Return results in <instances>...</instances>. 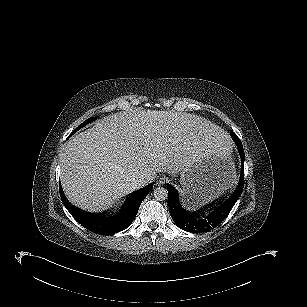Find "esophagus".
Masks as SVG:
<instances>
[{
    "label": "esophagus",
    "instance_id": "1",
    "mask_svg": "<svg viewBox=\"0 0 307 307\" xmlns=\"http://www.w3.org/2000/svg\"><path fill=\"white\" fill-rule=\"evenodd\" d=\"M167 182V178L166 177H159L158 180L156 181L157 185H163Z\"/></svg>",
    "mask_w": 307,
    "mask_h": 307
}]
</instances>
